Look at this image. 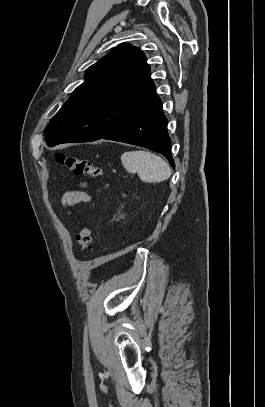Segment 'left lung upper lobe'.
Segmentation results:
<instances>
[{
	"instance_id": "left-lung-upper-lobe-1",
	"label": "left lung upper lobe",
	"mask_w": 265,
	"mask_h": 407,
	"mask_svg": "<svg viewBox=\"0 0 265 407\" xmlns=\"http://www.w3.org/2000/svg\"><path fill=\"white\" fill-rule=\"evenodd\" d=\"M143 52L123 45L90 66L45 129L48 146L95 141L159 102Z\"/></svg>"
}]
</instances>
